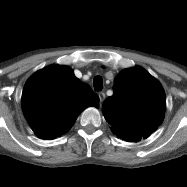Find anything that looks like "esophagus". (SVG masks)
Returning a JSON list of instances; mask_svg holds the SVG:
<instances>
[{
    "instance_id": "esophagus-1",
    "label": "esophagus",
    "mask_w": 187,
    "mask_h": 187,
    "mask_svg": "<svg viewBox=\"0 0 187 187\" xmlns=\"http://www.w3.org/2000/svg\"><path fill=\"white\" fill-rule=\"evenodd\" d=\"M98 96H99V99H100V103L102 104L103 101L105 100V93L104 92H99Z\"/></svg>"
}]
</instances>
